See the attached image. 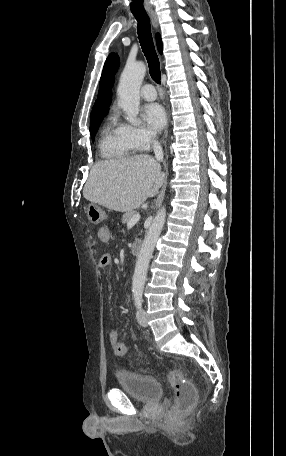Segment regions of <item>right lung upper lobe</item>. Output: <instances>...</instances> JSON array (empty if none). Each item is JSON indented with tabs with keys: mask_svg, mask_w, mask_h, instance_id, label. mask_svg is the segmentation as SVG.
<instances>
[{
	"mask_svg": "<svg viewBox=\"0 0 286 456\" xmlns=\"http://www.w3.org/2000/svg\"><path fill=\"white\" fill-rule=\"evenodd\" d=\"M156 40L158 50L162 53V41L159 34L156 35ZM119 63V56L116 53H111L106 59L100 79L98 98L92 109L90 121L99 118L108 112V107L111 103L112 84Z\"/></svg>",
	"mask_w": 286,
	"mask_h": 456,
	"instance_id": "right-lung-upper-lobe-1",
	"label": "right lung upper lobe"
}]
</instances>
